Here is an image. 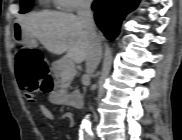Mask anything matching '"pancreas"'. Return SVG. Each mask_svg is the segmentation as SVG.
Here are the masks:
<instances>
[{
  "instance_id": "cf45deb5",
  "label": "pancreas",
  "mask_w": 182,
  "mask_h": 140,
  "mask_svg": "<svg viewBox=\"0 0 182 140\" xmlns=\"http://www.w3.org/2000/svg\"><path fill=\"white\" fill-rule=\"evenodd\" d=\"M52 69L56 87L59 89V92L65 93L76 75L74 63L62 58L52 64Z\"/></svg>"
}]
</instances>
